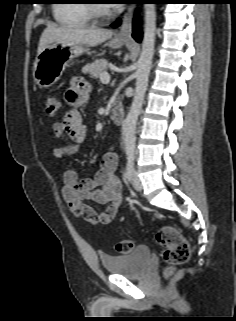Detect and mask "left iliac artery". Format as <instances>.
Wrapping results in <instances>:
<instances>
[{"label": "left iliac artery", "mask_w": 236, "mask_h": 321, "mask_svg": "<svg viewBox=\"0 0 236 321\" xmlns=\"http://www.w3.org/2000/svg\"><path fill=\"white\" fill-rule=\"evenodd\" d=\"M127 165H126V178L128 180L131 179V174H132V171H133V167H134V159H135V154L134 152H128L127 153Z\"/></svg>", "instance_id": "left-iliac-artery-1"}]
</instances>
